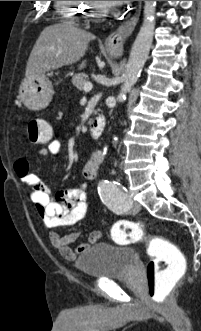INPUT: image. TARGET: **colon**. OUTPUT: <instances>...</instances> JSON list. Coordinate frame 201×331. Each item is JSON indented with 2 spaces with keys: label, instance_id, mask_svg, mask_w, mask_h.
<instances>
[{
  "label": "colon",
  "instance_id": "1",
  "mask_svg": "<svg viewBox=\"0 0 201 331\" xmlns=\"http://www.w3.org/2000/svg\"><path fill=\"white\" fill-rule=\"evenodd\" d=\"M27 129L32 144L44 145L51 142L52 127L44 119H30ZM111 236L116 243L122 245L147 241L151 256L146 266L147 294L158 306H167L186 269V261L180 250L167 239L148 234L141 225L132 221L115 223L111 228Z\"/></svg>",
  "mask_w": 201,
  "mask_h": 331
}]
</instances>
